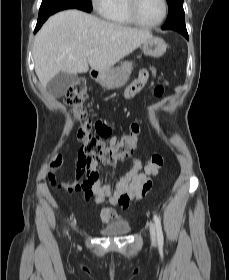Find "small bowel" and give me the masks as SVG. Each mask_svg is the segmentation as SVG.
<instances>
[{
	"mask_svg": "<svg viewBox=\"0 0 229 280\" xmlns=\"http://www.w3.org/2000/svg\"><path fill=\"white\" fill-rule=\"evenodd\" d=\"M153 75L154 71L142 70L138 78L127 87L124 94L125 98L130 99L138 94ZM163 93L164 89L162 86H157L154 89V95L156 96H161ZM104 138L113 145L116 143L115 137L104 135ZM142 169V160L136 157L129 172L117 180L115 188L112 190L109 186L100 184L98 181L94 184H88L85 171L77 163L72 185L82 193L84 200L94 199L96 203L107 202L109 204L100 211V218L104 225L119 217L114 206L118 205L123 209H127L133 200L140 198L143 183L150 180L151 175L157 173V171H150L146 167L143 171H141Z\"/></svg>",
	"mask_w": 229,
	"mask_h": 280,
	"instance_id": "small-bowel-1",
	"label": "small bowel"
}]
</instances>
